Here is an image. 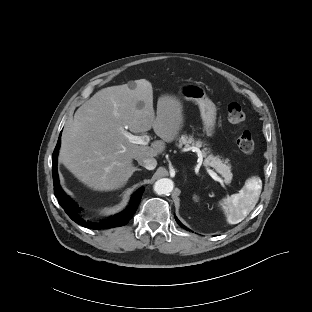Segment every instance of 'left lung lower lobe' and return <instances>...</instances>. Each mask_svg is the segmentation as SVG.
I'll return each instance as SVG.
<instances>
[{
    "instance_id": "0a47b994",
    "label": "left lung lower lobe",
    "mask_w": 312,
    "mask_h": 312,
    "mask_svg": "<svg viewBox=\"0 0 312 312\" xmlns=\"http://www.w3.org/2000/svg\"><path fill=\"white\" fill-rule=\"evenodd\" d=\"M175 219H176L177 223H178L181 227H183L184 229L187 230V228H186L184 225H182V223H181L176 217H175Z\"/></svg>"
}]
</instances>
